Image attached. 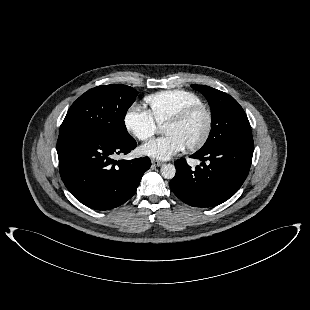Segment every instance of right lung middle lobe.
I'll use <instances>...</instances> for the list:
<instances>
[{
    "instance_id": "dd1d6c3e",
    "label": "right lung middle lobe",
    "mask_w": 310,
    "mask_h": 310,
    "mask_svg": "<svg viewBox=\"0 0 310 310\" xmlns=\"http://www.w3.org/2000/svg\"><path fill=\"white\" fill-rule=\"evenodd\" d=\"M138 92L129 86L111 84L92 88L70 107L60 134L81 132L122 141L130 138L124 118Z\"/></svg>"
}]
</instances>
